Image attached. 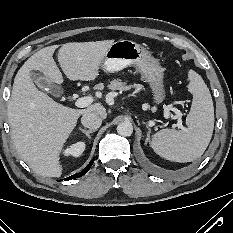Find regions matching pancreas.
Masks as SVG:
<instances>
[{
	"mask_svg": "<svg viewBox=\"0 0 233 233\" xmlns=\"http://www.w3.org/2000/svg\"><path fill=\"white\" fill-rule=\"evenodd\" d=\"M132 86L131 85H126L125 82H122L121 80H112L110 84L108 85L109 89L112 90H119V91H126L129 90ZM134 87H138V85H134Z\"/></svg>",
	"mask_w": 233,
	"mask_h": 233,
	"instance_id": "pancreas-1",
	"label": "pancreas"
}]
</instances>
